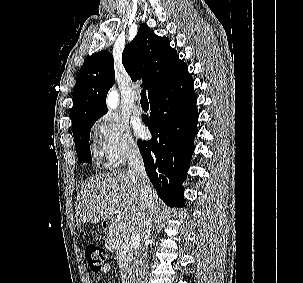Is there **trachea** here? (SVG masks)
<instances>
[{"mask_svg":"<svg viewBox=\"0 0 303 283\" xmlns=\"http://www.w3.org/2000/svg\"><path fill=\"white\" fill-rule=\"evenodd\" d=\"M141 101H148L146 97V90L141 91Z\"/></svg>","mask_w":303,"mask_h":283,"instance_id":"1","label":"trachea"}]
</instances>
